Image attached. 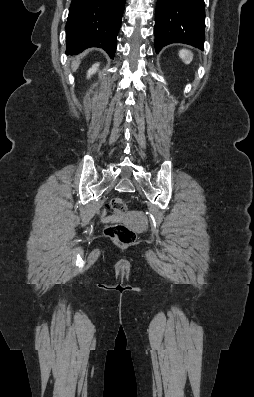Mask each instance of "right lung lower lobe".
Wrapping results in <instances>:
<instances>
[{"label": "right lung lower lobe", "instance_id": "98d812e1", "mask_svg": "<svg viewBox=\"0 0 254 397\" xmlns=\"http://www.w3.org/2000/svg\"><path fill=\"white\" fill-rule=\"evenodd\" d=\"M126 0H72L66 23L67 55L89 47L113 58Z\"/></svg>", "mask_w": 254, "mask_h": 397}]
</instances>
